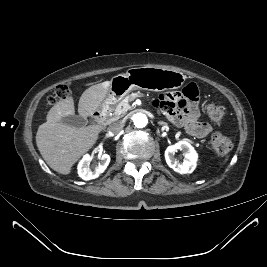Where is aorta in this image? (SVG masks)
<instances>
[{
    "mask_svg": "<svg viewBox=\"0 0 267 267\" xmlns=\"http://www.w3.org/2000/svg\"><path fill=\"white\" fill-rule=\"evenodd\" d=\"M132 121L135 127L144 128L148 124V117L142 112H137L133 115Z\"/></svg>",
    "mask_w": 267,
    "mask_h": 267,
    "instance_id": "1",
    "label": "aorta"
}]
</instances>
